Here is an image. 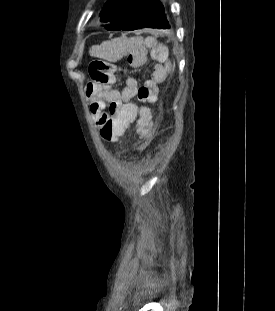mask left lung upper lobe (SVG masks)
I'll return each mask as SVG.
<instances>
[{
    "instance_id": "obj_1",
    "label": "left lung upper lobe",
    "mask_w": 275,
    "mask_h": 311,
    "mask_svg": "<svg viewBox=\"0 0 275 311\" xmlns=\"http://www.w3.org/2000/svg\"><path fill=\"white\" fill-rule=\"evenodd\" d=\"M146 0H108L104 5L101 20L106 22L105 28L109 31H119L135 16L138 8Z\"/></svg>"
}]
</instances>
